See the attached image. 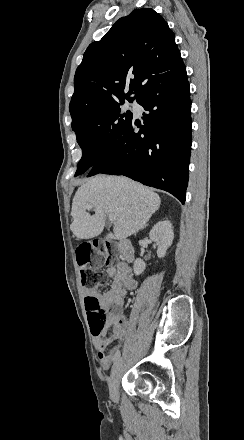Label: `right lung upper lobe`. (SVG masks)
<instances>
[{
  "mask_svg": "<svg viewBox=\"0 0 244 440\" xmlns=\"http://www.w3.org/2000/svg\"><path fill=\"white\" fill-rule=\"evenodd\" d=\"M183 64L174 33L151 8L133 10L91 43L74 77L70 110L106 99L137 98L161 69Z\"/></svg>",
  "mask_w": 244,
  "mask_h": 440,
  "instance_id": "right-lung-upper-lobe-1",
  "label": "right lung upper lobe"
}]
</instances>
